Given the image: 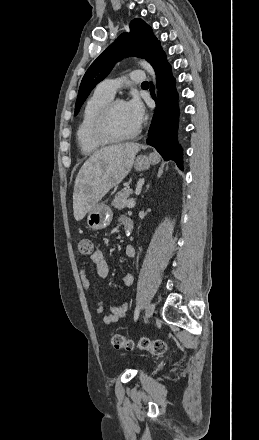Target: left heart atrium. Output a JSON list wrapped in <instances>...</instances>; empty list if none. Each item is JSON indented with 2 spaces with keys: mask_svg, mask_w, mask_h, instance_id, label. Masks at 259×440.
I'll return each instance as SVG.
<instances>
[{
  "mask_svg": "<svg viewBox=\"0 0 259 440\" xmlns=\"http://www.w3.org/2000/svg\"><path fill=\"white\" fill-rule=\"evenodd\" d=\"M125 108L129 117L137 127L144 122L146 117L145 106L137 96L125 102Z\"/></svg>",
  "mask_w": 259,
  "mask_h": 440,
  "instance_id": "39dd6f15",
  "label": "left heart atrium"
}]
</instances>
